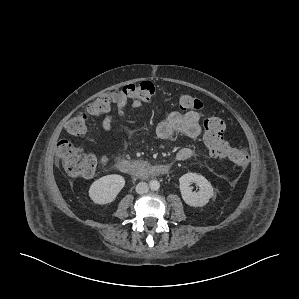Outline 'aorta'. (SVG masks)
I'll return each instance as SVG.
<instances>
[{
	"instance_id": "obj_1",
	"label": "aorta",
	"mask_w": 299,
	"mask_h": 299,
	"mask_svg": "<svg viewBox=\"0 0 299 299\" xmlns=\"http://www.w3.org/2000/svg\"><path fill=\"white\" fill-rule=\"evenodd\" d=\"M150 188H151V190H154V191L158 190V189L160 188V183H159V181H157V180H152V181L150 182Z\"/></svg>"
}]
</instances>
